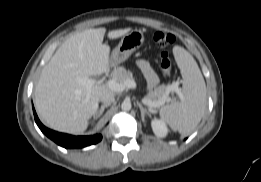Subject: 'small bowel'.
I'll return each instance as SVG.
<instances>
[{
  "mask_svg": "<svg viewBox=\"0 0 261 182\" xmlns=\"http://www.w3.org/2000/svg\"><path fill=\"white\" fill-rule=\"evenodd\" d=\"M137 65L147 81L148 88L153 89L158 84V77L150 63L145 59H140L138 60Z\"/></svg>",
  "mask_w": 261,
  "mask_h": 182,
  "instance_id": "c3829d8e",
  "label": "small bowel"
}]
</instances>
